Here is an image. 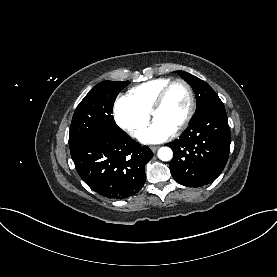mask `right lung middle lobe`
<instances>
[{
  "instance_id": "obj_1",
  "label": "right lung middle lobe",
  "mask_w": 277,
  "mask_h": 277,
  "mask_svg": "<svg viewBox=\"0 0 277 277\" xmlns=\"http://www.w3.org/2000/svg\"><path fill=\"white\" fill-rule=\"evenodd\" d=\"M129 83L103 81L89 91L74 112L69 133L70 148L98 133L125 134L111 114L118 93Z\"/></svg>"
}]
</instances>
